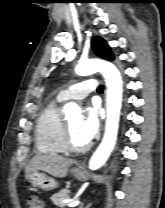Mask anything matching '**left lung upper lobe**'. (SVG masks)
<instances>
[{
    "mask_svg": "<svg viewBox=\"0 0 165 208\" xmlns=\"http://www.w3.org/2000/svg\"><path fill=\"white\" fill-rule=\"evenodd\" d=\"M92 47L96 55H98L99 57H102L108 60L114 59V56L110 50V47L101 37H94L92 39Z\"/></svg>",
    "mask_w": 165,
    "mask_h": 208,
    "instance_id": "1",
    "label": "left lung upper lobe"
}]
</instances>
